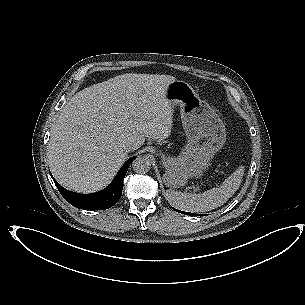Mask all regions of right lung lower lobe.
<instances>
[{
    "mask_svg": "<svg viewBox=\"0 0 305 305\" xmlns=\"http://www.w3.org/2000/svg\"><path fill=\"white\" fill-rule=\"evenodd\" d=\"M135 157L127 160L112 183L102 191L93 194H78L64 189L54 178L56 187L62 196L71 205L84 210H104L112 207L118 202L122 195L123 180L128 170L129 165Z\"/></svg>",
    "mask_w": 305,
    "mask_h": 305,
    "instance_id": "obj_1",
    "label": "right lung lower lobe"
}]
</instances>
